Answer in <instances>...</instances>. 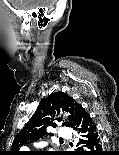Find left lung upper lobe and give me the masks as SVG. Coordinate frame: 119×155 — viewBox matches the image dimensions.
<instances>
[{
    "instance_id": "left-lung-upper-lobe-1",
    "label": "left lung upper lobe",
    "mask_w": 119,
    "mask_h": 155,
    "mask_svg": "<svg viewBox=\"0 0 119 155\" xmlns=\"http://www.w3.org/2000/svg\"><path fill=\"white\" fill-rule=\"evenodd\" d=\"M77 103L64 92H54L48 97L42 99L39 106L25 127L17 134L12 143L11 155H20L18 149L21 146L28 145L37 141L46 135V127L56 125L53 124L52 119L49 117L55 111L68 112L70 122H65L64 125L73 127L75 119V111ZM60 121V119H58ZM47 155H67L65 152L56 151Z\"/></svg>"
}]
</instances>
